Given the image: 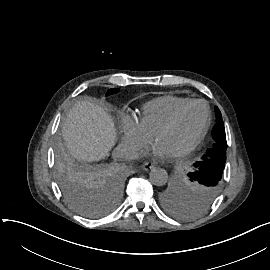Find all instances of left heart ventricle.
<instances>
[{
	"label": "left heart ventricle",
	"instance_id": "left-heart-ventricle-1",
	"mask_svg": "<svg viewBox=\"0 0 270 270\" xmlns=\"http://www.w3.org/2000/svg\"><path fill=\"white\" fill-rule=\"evenodd\" d=\"M205 122V109L194 105L181 117L171 129L163 131L156 139L169 145L176 153L186 148L200 133Z\"/></svg>",
	"mask_w": 270,
	"mask_h": 270
}]
</instances>
